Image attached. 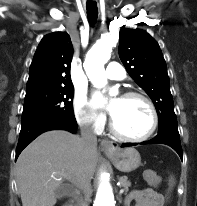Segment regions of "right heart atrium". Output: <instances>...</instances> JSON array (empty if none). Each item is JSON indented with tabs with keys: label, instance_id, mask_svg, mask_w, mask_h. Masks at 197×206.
<instances>
[{
	"label": "right heart atrium",
	"instance_id": "1",
	"mask_svg": "<svg viewBox=\"0 0 197 206\" xmlns=\"http://www.w3.org/2000/svg\"><path fill=\"white\" fill-rule=\"evenodd\" d=\"M74 114L77 122L84 128L100 132L105 124V117L94 109L85 93H77L74 98Z\"/></svg>",
	"mask_w": 197,
	"mask_h": 206
}]
</instances>
